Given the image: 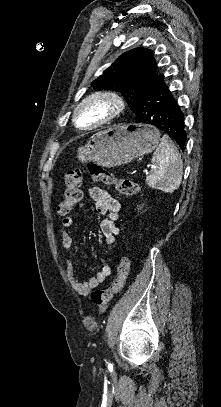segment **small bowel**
Returning a JSON list of instances; mask_svg holds the SVG:
<instances>
[{
    "mask_svg": "<svg viewBox=\"0 0 221 407\" xmlns=\"http://www.w3.org/2000/svg\"><path fill=\"white\" fill-rule=\"evenodd\" d=\"M89 195L94 201L96 211L106 215V218L100 223V231L104 241L107 244L115 243L119 235L117 221L120 213V202L111 197L106 190L99 187H91L89 189ZM73 224L74 221L71 217L65 216L62 218L63 229L60 233L61 244L69 254L73 252V239L66 229L72 227ZM66 273L73 290L81 296H86L96 287L106 282L111 275V267L108 264L103 265L96 276L83 282L75 275V263L70 256L66 260Z\"/></svg>",
    "mask_w": 221,
    "mask_h": 407,
    "instance_id": "small-bowel-1",
    "label": "small bowel"
}]
</instances>
